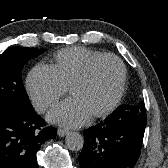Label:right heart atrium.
Instances as JSON below:
<instances>
[{
    "instance_id": "1",
    "label": "right heart atrium",
    "mask_w": 168,
    "mask_h": 168,
    "mask_svg": "<svg viewBox=\"0 0 168 168\" xmlns=\"http://www.w3.org/2000/svg\"><path fill=\"white\" fill-rule=\"evenodd\" d=\"M26 90L38 112H45L67 91L53 65L37 64L27 75Z\"/></svg>"
}]
</instances>
